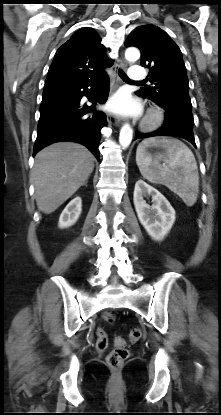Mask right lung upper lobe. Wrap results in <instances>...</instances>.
<instances>
[{
    "instance_id": "1",
    "label": "right lung upper lobe",
    "mask_w": 221,
    "mask_h": 415,
    "mask_svg": "<svg viewBox=\"0 0 221 415\" xmlns=\"http://www.w3.org/2000/svg\"><path fill=\"white\" fill-rule=\"evenodd\" d=\"M100 36L91 28L75 32L56 52L44 88L94 80L113 62L105 54Z\"/></svg>"
}]
</instances>
